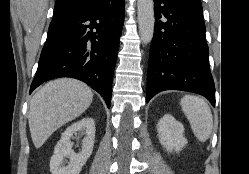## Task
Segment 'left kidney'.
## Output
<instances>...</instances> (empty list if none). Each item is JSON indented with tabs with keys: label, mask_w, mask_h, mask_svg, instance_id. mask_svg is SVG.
<instances>
[{
	"label": "left kidney",
	"mask_w": 249,
	"mask_h": 174,
	"mask_svg": "<svg viewBox=\"0 0 249 174\" xmlns=\"http://www.w3.org/2000/svg\"><path fill=\"white\" fill-rule=\"evenodd\" d=\"M158 138L167 152H179L186 144L184 127L172 115L165 114L157 125Z\"/></svg>",
	"instance_id": "obj_1"
}]
</instances>
